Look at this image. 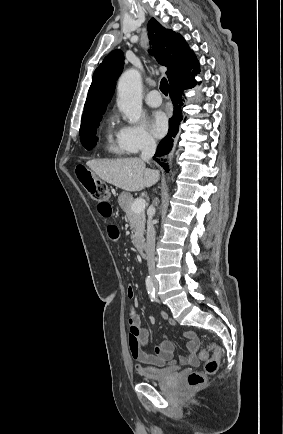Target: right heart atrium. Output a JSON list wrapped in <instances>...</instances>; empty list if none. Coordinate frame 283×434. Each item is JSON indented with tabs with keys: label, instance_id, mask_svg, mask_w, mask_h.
<instances>
[{
	"label": "right heart atrium",
	"instance_id": "d8ad5b80",
	"mask_svg": "<svg viewBox=\"0 0 283 434\" xmlns=\"http://www.w3.org/2000/svg\"><path fill=\"white\" fill-rule=\"evenodd\" d=\"M119 140L125 153L137 154L155 145V139L143 123L125 125L119 130Z\"/></svg>",
	"mask_w": 283,
	"mask_h": 434
}]
</instances>
